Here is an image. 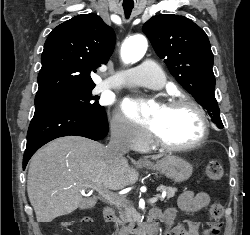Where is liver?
<instances>
[{"instance_id": "liver-1", "label": "liver", "mask_w": 250, "mask_h": 235, "mask_svg": "<svg viewBox=\"0 0 250 235\" xmlns=\"http://www.w3.org/2000/svg\"><path fill=\"white\" fill-rule=\"evenodd\" d=\"M102 144L80 136L58 138L31 159L27 193L38 222L70 214L84 199L82 190H119L134 184L139 173L126 159L110 162ZM161 155L151 158L156 160Z\"/></svg>"}]
</instances>
